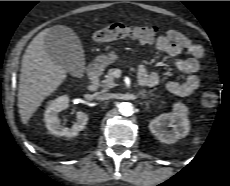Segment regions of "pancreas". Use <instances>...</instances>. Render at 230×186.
<instances>
[{"instance_id":"cf45deb5","label":"pancreas","mask_w":230,"mask_h":186,"mask_svg":"<svg viewBox=\"0 0 230 186\" xmlns=\"http://www.w3.org/2000/svg\"><path fill=\"white\" fill-rule=\"evenodd\" d=\"M117 86L114 79V69H110L105 75V79L101 81V87L104 91H107L113 87Z\"/></svg>"}]
</instances>
